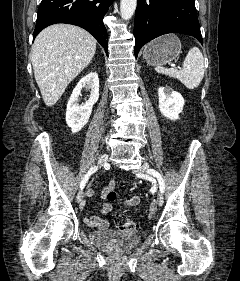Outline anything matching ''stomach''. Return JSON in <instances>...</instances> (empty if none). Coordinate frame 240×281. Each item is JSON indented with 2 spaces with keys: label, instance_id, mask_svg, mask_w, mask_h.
I'll list each match as a JSON object with an SVG mask.
<instances>
[{
  "label": "stomach",
  "instance_id": "0dacf381",
  "mask_svg": "<svg viewBox=\"0 0 240 281\" xmlns=\"http://www.w3.org/2000/svg\"><path fill=\"white\" fill-rule=\"evenodd\" d=\"M180 51L179 38L169 34L147 44L143 50V58L149 65H164L176 59Z\"/></svg>",
  "mask_w": 240,
  "mask_h": 281
}]
</instances>
